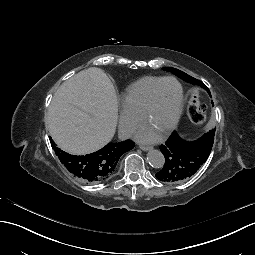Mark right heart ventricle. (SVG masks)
I'll return each mask as SVG.
<instances>
[{
    "mask_svg": "<svg viewBox=\"0 0 255 255\" xmlns=\"http://www.w3.org/2000/svg\"><path fill=\"white\" fill-rule=\"evenodd\" d=\"M163 79V77H145L134 82L121 95V107L130 114L140 118L149 101L152 90Z\"/></svg>",
    "mask_w": 255,
    "mask_h": 255,
    "instance_id": "1",
    "label": "right heart ventricle"
}]
</instances>
